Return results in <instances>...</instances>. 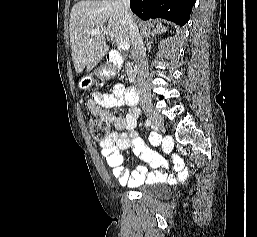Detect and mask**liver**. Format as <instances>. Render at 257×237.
Listing matches in <instances>:
<instances>
[{"instance_id": "liver-1", "label": "liver", "mask_w": 257, "mask_h": 237, "mask_svg": "<svg viewBox=\"0 0 257 237\" xmlns=\"http://www.w3.org/2000/svg\"><path fill=\"white\" fill-rule=\"evenodd\" d=\"M158 28H162L161 23H158ZM93 29H99L103 34L92 36ZM69 32L76 73H82L85 68L87 72L91 71L103 59L109 50V38L113 43L132 44L123 9L113 0L80 1L74 4L70 13Z\"/></svg>"}]
</instances>
